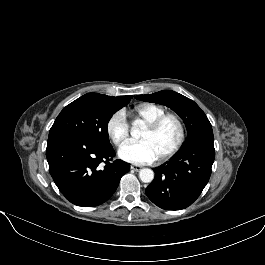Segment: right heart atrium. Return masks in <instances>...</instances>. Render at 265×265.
<instances>
[{
    "label": "right heart atrium",
    "instance_id": "obj_1",
    "mask_svg": "<svg viewBox=\"0 0 265 265\" xmlns=\"http://www.w3.org/2000/svg\"><path fill=\"white\" fill-rule=\"evenodd\" d=\"M106 131L117 146H122L129 140V125L123 111H116L109 117Z\"/></svg>",
    "mask_w": 265,
    "mask_h": 265
}]
</instances>
